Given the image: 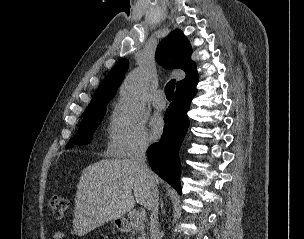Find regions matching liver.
Segmentation results:
<instances>
[{
	"label": "liver",
	"mask_w": 304,
	"mask_h": 239,
	"mask_svg": "<svg viewBox=\"0 0 304 239\" xmlns=\"http://www.w3.org/2000/svg\"><path fill=\"white\" fill-rule=\"evenodd\" d=\"M150 197L145 179L130 159H103L90 164L77 186L74 231L84 236L105 222L121 218L136 202L149 209Z\"/></svg>",
	"instance_id": "liver-1"
}]
</instances>
